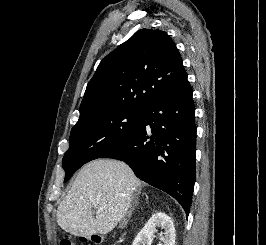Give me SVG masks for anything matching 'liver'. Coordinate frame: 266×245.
Instances as JSON below:
<instances>
[{"instance_id":"obj_1","label":"liver","mask_w":266,"mask_h":245,"mask_svg":"<svg viewBox=\"0 0 266 245\" xmlns=\"http://www.w3.org/2000/svg\"><path fill=\"white\" fill-rule=\"evenodd\" d=\"M141 181L123 161L96 159L84 165L57 209V223L74 237L110 233L124 219ZM102 207L101 211H98ZM92 209H96L93 217Z\"/></svg>"}]
</instances>
